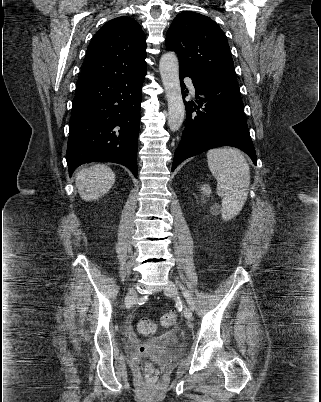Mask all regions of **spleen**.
Segmentation results:
<instances>
[{
    "instance_id": "1",
    "label": "spleen",
    "mask_w": 321,
    "mask_h": 402,
    "mask_svg": "<svg viewBox=\"0 0 321 402\" xmlns=\"http://www.w3.org/2000/svg\"><path fill=\"white\" fill-rule=\"evenodd\" d=\"M208 166L217 180V194L222 200V217L231 219L245 204L250 185L249 165L243 154L233 148L207 152Z\"/></svg>"
}]
</instances>
